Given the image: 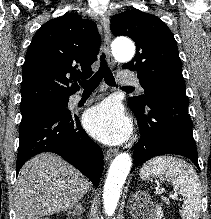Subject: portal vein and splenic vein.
Returning a JSON list of instances; mask_svg holds the SVG:
<instances>
[{
  "instance_id": "obj_1",
  "label": "portal vein and splenic vein",
  "mask_w": 211,
  "mask_h": 219,
  "mask_svg": "<svg viewBox=\"0 0 211 219\" xmlns=\"http://www.w3.org/2000/svg\"><path fill=\"white\" fill-rule=\"evenodd\" d=\"M164 192V188H159V189H157L156 190V193L157 194H161V193H163ZM172 198H174V199H177V195L176 194H171L170 195Z\"/></svg>"
}]
</instances>
